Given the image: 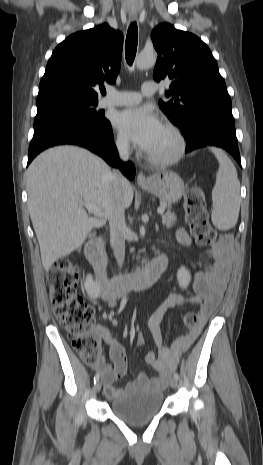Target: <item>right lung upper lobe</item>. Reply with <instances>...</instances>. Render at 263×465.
I'll return each mask as SVG.
<instances>
[{"mask_svg": "<svg viewBox=\"0 0 263 465\" xmlns=\"http://www.w3.org/2000/svg\"><path fill=\"white\" fill-rule=\"evenodd\" d=\"M123 34L106 23L74 33L48 61L37 101L57 96L98 99L103 83L114 84L120 70Z\"/></svg>", "mask_w": 263, "mask_h": 465, "instance_id": "right-lung-upper-lobe-1", "label": "right lung upper lobe"}]
</instances>
